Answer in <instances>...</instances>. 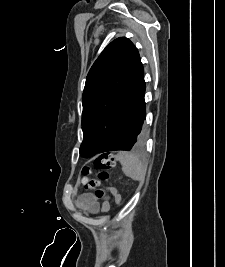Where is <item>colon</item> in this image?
<instances>
[{"label":"colon","mask_w":225,"mask_h":267,"mask_svg":"<svg viewBox=\"0 0 225 267\" xmlns=\"http://www.w3.org/2000/svg\"><path fill=\"white\" fill-rule=\"evenodd\" d=\"M95 167L98 169V179L92 180L89 178L91 173L90 167L86 166L82 169V178L80 180V187L85 189L95 190V195L102 199V212L108 213L110 210V202L106 198L107 190L99 187V181L105 180L109 177V172L115 166V158L112 153H102L94 161Z\"/></svg>","instance_id":"5ec220e1"}]
</instances>
